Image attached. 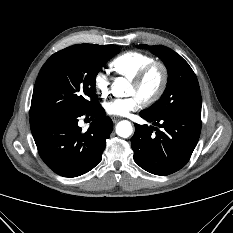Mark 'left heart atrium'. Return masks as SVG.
I'll return each instance as SVG.
<instances>
[{
    "instance_id": "obj_1",
    "label": "left heart atrium",
    "mask_w": 233,
    "mask_h": 233,
    "mask_svg": "<svg viewBox=\"0 0 233 233\" xmlns=\"http://www.w3.org/2000/svg\"><path fill=\"white\" fill-rule=\"evenodd\" d=\"M141 104L140 98L132 95L127 98L111 99L104 103V109L109 115L125 116L131 111L138 110Z\"/></svg>"
}]
</instances>
